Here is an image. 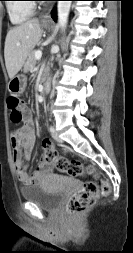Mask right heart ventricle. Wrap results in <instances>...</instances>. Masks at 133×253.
Listing matches in <instances>:
<instances>
[{
  "label": "right heart ventricle",
  "mask_w": 133,
  "mask_h": 253,
  "mask_svg": "<svg viewBox=\"0 0 133 253\" xmlns=\"http://www.w3.org/2000/svg\"><path fill=\"white\" fill-rule=\"evenodd\" d=\"M10 20L13 24H21L32 17L34 5L25 0H12L7 4Z\"/></svg>",
  "instance_id": "1"
}]
</instances>
